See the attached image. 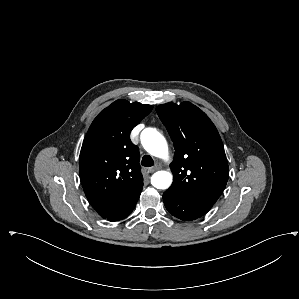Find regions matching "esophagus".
Returning a JSON list of instances; mask_svg holds the SVG:
<instances>
[{
  "mask_svg": "<svg viewBox=\"0 0 299 299\" xmlns=\"http://www.w3.org/2000/svg\"><path fill=\"white\" fill-rule=\"evenodd\" d=\"M161 167H162L161 163H156L154 167H151L148 169V172L153 173V172L161 169Z\"/></svg>",
  "mask_w": 299,
  "mask_h": 299,
  "instance_id": "esophagus-1",
  "label": "esophagus"
}]
</instances>
